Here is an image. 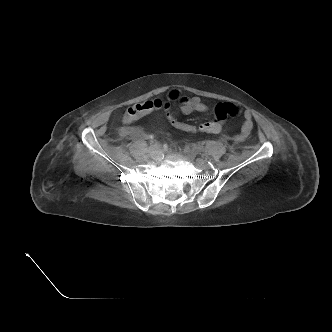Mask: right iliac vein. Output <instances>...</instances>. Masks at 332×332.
I'll use <instances>...</instances> for the list:
<instances>
[{
    "label": "right iliac vein",
    "instance_id": "1",
    "mask_svg": "<svg viewBox=\"0 0 332 332\" xmlns=\"http://www.w3.org/2000/svg\"><path fill=\"white\" fill-rule=\"evenodd\" d=\"M150 155L152 158H156L158 156V151H152L150 152Z\"/></svg>",
    "mask_w": 332,
    "mask_h": 332
}]
</instances>
